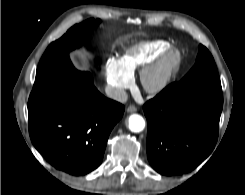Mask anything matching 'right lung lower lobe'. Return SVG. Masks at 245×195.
I'll return each mask as SVG.
<instances>
[{
    "instance_id": "obj_1",
    "label": "right lung lower lobe",
    "mask_w": 245,
    "mask_h": 195,
    "mask_svg": "<svg viewBox=\"0 0 245 195\" xmlns=\"http://www.w3.org/2000/svg\"><path fill=\"white\" fill-rule=\"evenodd\" d=\"M124 106L105 98L89 73L33 90L28 100L33 145L56 169L85 175L102 162L109 134Z\"/></svg>"
}]
</instances>
